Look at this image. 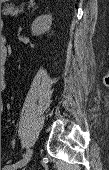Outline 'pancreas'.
<instances>
[{
  "label": "pancreas",
  "mask_w": 109,
  "mask_h": 170,
  "mask_svg": "<svg viewBox=\"0 0 109 170\" xmlns=\"http://www.w3.org/2000/svg\"><path fill=\"white\" fill-rule=\"evenodd\" d=\"M21 10L22 8H19V7L7 6L6 8L2 9V14L16 16Z\"/></svg>",
  "instance_id": "obj_1"
}]
</instances>
